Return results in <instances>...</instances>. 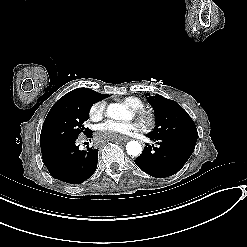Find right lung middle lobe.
Here are the masks:
<instances>
[{"instance_id": "1", "label": "right lung middle lobe", "mask_w": 247, "mask_h": 247, "mask_svg": "<svg viewBox=\"0 0 247 247\" xmlns=\"http://www.w3.org/2000/svg\"><path fill=\"white\" fill-rule=\"evenodd\" d=\"M92 92L77 88L61 97L50 109L40 135V146L51 143L76 140L83 132L92 133L84 127L89 119V110L96 103Z\"/></svg>"}]
</instances>
